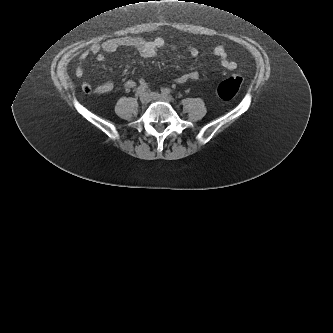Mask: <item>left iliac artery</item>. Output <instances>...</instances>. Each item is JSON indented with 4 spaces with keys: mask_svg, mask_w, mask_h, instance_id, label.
Returning <instances> with one entry per match:
<instances>
[{
    "mask_svg": "<svg viewBox=\"0 0 333 333\" xmlns=\"http://www.w3.org/2000/svg\"><path fill=\"white\" fill-rule=\"evenodd\" d=\"M171 92H172V90L169 89V88H164V89L162 90V93H163L164 95H168V94H170Z\"/></svg>",
    "mask_w": 333,
    "mask_h": 333,
    "instance_id": "left-iliac-artery-1",
    "label": "left iliac artery"
}]
</instances>
